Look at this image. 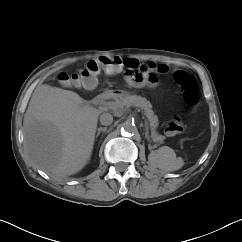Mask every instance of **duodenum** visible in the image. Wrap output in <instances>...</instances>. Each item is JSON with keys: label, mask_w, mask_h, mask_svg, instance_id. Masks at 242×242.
Returning <instances> with one entry per match:
<instances>
[{"label": "duodenum", "mask_w": 242, "mask_h": 242, "mask_svg": "<svg viewBox=\"0 0 242 242\" xmlns=\"http://www.w3.org/2000/svg\"><path fill=\"white\" fill-rule=\"evenodd\" d=\"M113 95H114V93H112V92H103V93L98 94V95L96 96V101H103V100H106V99L110 98V97L113 96Z\"/></svg>", "instance_id": "duodenum-1"}]
</instances>
